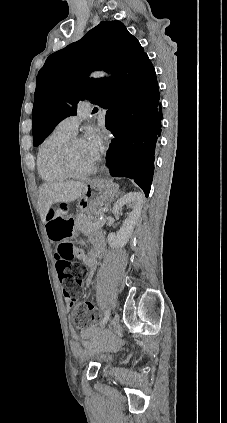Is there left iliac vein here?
Returning a JSON list of instances; mask_svg holds the SVG:
<instances>
[{"label":"left iliac vein","instance_id":"left-iliac-vein-1","mask_svg":"<svg viewBox=\"0 0 227 423\" xmlns=\"http://www.w3.org/2000/svg\"><path fill=\"white\" fill-rule=\"evenodd\" d=\"M119 322H120V315L119 313H115L110 320L109 328L115 329L116 326L119 325Z\"/></svg>","mask_w":227,"mask_h":423}]
</instances>
